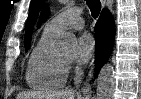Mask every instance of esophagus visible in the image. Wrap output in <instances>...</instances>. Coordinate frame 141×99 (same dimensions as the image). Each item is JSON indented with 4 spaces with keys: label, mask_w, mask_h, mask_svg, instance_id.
<instances>
[{
    "label": "esophagus",
    "mask_w": 141,
    "mask_h": 99,
    "mask_svg": "<svg viewBox=\"0 0 141 99\" xmlns=\"http://www.w3.org/2000/svg\"><path fill=\"white\" fill-rule=\"evenodd\" d=\"M102 5L104 7V3L102 2ZM93 73H94V66L92 64L91 68H90V71L88 73V76H87V79H86V82L84 84V86L82 87V93H83V96L86 97V98H89L92 94V87L90 85V81L93 77Z\"/></svg>",
    "instance_id": "obj_1"
}]
</instances>
